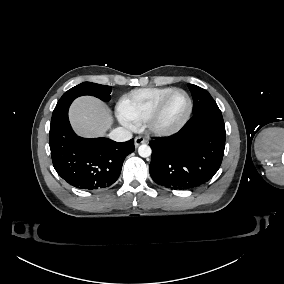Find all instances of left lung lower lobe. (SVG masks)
Segmentation results:
<instances>
[{
    "label": "left lung lower lobe",
    "instance_id": "left-lung-lower-lobe-1",
    "mask_svg": "<svg viewBox=\"0 0 284 284\" xmlns=\"http://www.w3.org/2000/svg\"><path fill=\"white\" fill-rule=\"evenodd\" d=\"M225 137L219 108L194 114L176 134L150 141L152 179L171 190L192 189L204 184L221 165Z\"/></svg>",
    "mask_w": 284,
    "mask_h": 284
}]
</instances>
